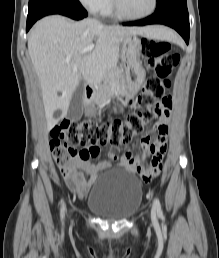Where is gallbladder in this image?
Masks as SVG:
<instances>
[{"mask_svg":"<svg viewBox=\"0 0 219 258\" xmlns=\"http://www.w3.org/2000/svg\"><path fill=\"white\" fill-rule=\"evenodd\" d=\"M84 87L79 84L74 91L69 103L67 118L71 121H78L83 115Z\"/></svg>","mask_w":219,"mask_h":258,"instance_id":"bac80fb5","label":"gallbladder"}]
</instances>
